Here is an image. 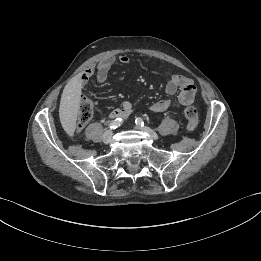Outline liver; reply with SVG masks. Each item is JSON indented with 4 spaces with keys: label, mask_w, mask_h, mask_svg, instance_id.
Masks as SVG:
<instances>
[{
    "label": "liver",
    "mask_w": 261,
    "mask_h": 261,
    "mask_svg": "<svg viewBox=\"0 0 261 261\" xmlns=\"http://www.w3.org/2000/svg\"><path fill=\"white\" fill-rule=\"evenodd\" d=\"M82 83L79 76H74L65 86L59 108L62 124L74 130L81 101Z\"/></svg>",
    "instance_id": "obj_1"
}]
</instances>
